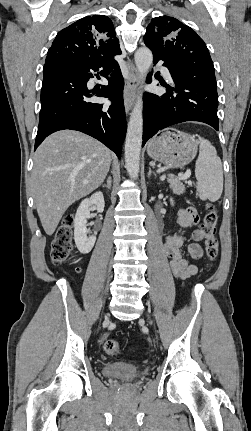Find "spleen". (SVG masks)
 <instances>
[{
	"label": "spleen",
	"mask_w": 251,
	"mask_h": 431,
	"mask_svg": "<svg viewBox=\"0 0 251 431\" xmlns=\"http://www.w3.org/2000/svg\"><path fill=\"white\" fill-rule=\"evenodd\" d=\"M199 156L195 165L197 196L202 200L217 201L223 191V170L221 159L211 143L199 138Z\"/></svg>",
	"instance_id": "spleen-1"
}]
</instances>
